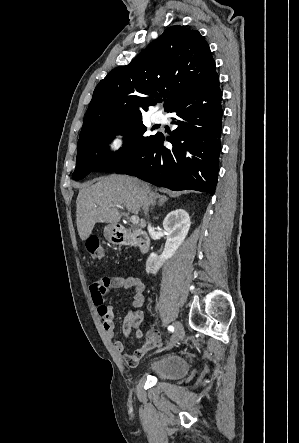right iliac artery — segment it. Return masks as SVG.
<instances>
[{
    "label": "right iliac artery",
    "instance_id": "82829eb1",
    "mask_svg": "<svg viewBox=\"0 0 299 443\" xmlns=\"http://www.w3.org/2000/svg\"><path fill=\"white\" fill-rule=\"evenodd\" d=\"M168 330H169L170 332H173V331H174V327H173L172 325H170V326H168Z\"/></svg>",
    "mask_w": 299,
    "mask_h": 443
}]
</instances>
